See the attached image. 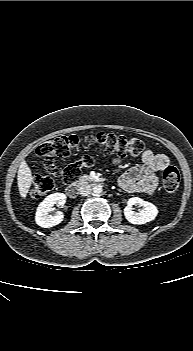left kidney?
<instances>
[{
  "label": "left kidney",
  "mask_w": 193,
  "mask_h": 351,
  "mask_svg": "<svg viewBox=\"0 0 193 351\" xmlns=\"http://www.w3.org/2000/svg\"><path fill=\"white\" fill-rule=\"evenodd\" d=\"M136 204L142 207L139 212L133 211L132 206ZM157 214L158 209L154 204L144 201L139 197L130 198L127 202V206L124 208L125 218L132 224H145L154 220Z\"/></svg>",
  "instance_id": "1"
}]
</instances>
